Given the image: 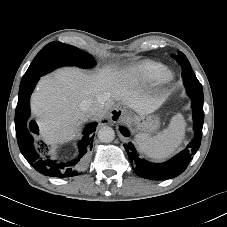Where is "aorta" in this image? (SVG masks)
Returning <instances> with one entry per match:
<instances>
[{
	"instance_id": "1",
	"label": "aorta",
	"mask_w": 227,
	"mask_h": 227,
	"mask_svg": "<svg viewBox=\"0 0 227 227\" xmlns=\"http://www.w3.org/2000/svg\"><path fill=\"white\" fill-rule=\"evenodd\" d=\"M115 138V132L110 126H103L98 131V139L103 143H110Z\"/></svg>"
}]
</instances>
